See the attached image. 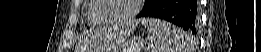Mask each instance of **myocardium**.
I'll use <instances>...</instances> for the list:
<instances>
[{
    "label": "myocardium",
    "mask_w": 261,
    "mask_h": 52,
    "mask_svg": "<svg viewBox=\"0 0 261 52\" xmlns=\"http://www.w3.org/2000/svg\"><path fill=\"white\" fill-rule=\"evenodd\" d=\"M100 2V8L97 11V16L103 24H122L131 21L136 17L141 9L142 0H134L131 11L124 17L117 20H105L102 18V13L108 8V2L106 0H98Z\"/></svg>",
    "instance_id": "obj_1"
}]
</instances>
